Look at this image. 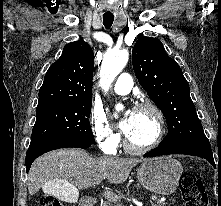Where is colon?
I'll use <instances>...</instances> for the list:
<instances>
[{
  "instance_id": "obj_1",
  "label": "colon",
  "mask_w": 221,
  "mask_h": 206,
  "mask_svg": "<svg viewBox=\"0 0 221 206\" xmlns=\"http://www.w3.org/2000/svg\"><path fill=\"white\" fill-rule=\"evenodd\" d=\"M180 186L185 206H209V198L202 181L194 174L186 172L181 175ZM41 206H63L56 198L43 196Z\"/></svg>"
}]
</instances>
